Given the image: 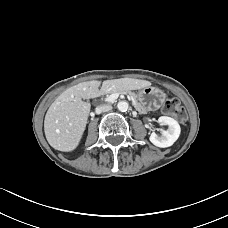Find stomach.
Masks as SVG:
<instances>
[{"mask_svg": "<svg viewBox=\"0 0 228 228\" xmlns=\"http://www.w3.org/2000/svg\"><path fill=\"white\" fill-rule=\"evenodd\" d=\"M165 97L162 90L152 86L141 88L137 94L141 107L147 110L158 109L163 104Z\"/></svg>", "mask_w": 228, "mask_h": 228, "instance_id": "obj_1", "label": "stomach"}]
</instances>
